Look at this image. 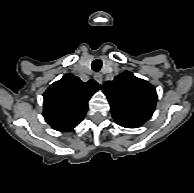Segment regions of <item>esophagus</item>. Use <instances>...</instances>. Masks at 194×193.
<instances>
[{
  "label": "esophagus",
  "instance_id": "obj_1",
  "mask_svg": "<svg viewBox=\"0 0 194 193\" xmlns=\"http://www.w3.org/2000/svg\"><path fill=\"white\" fill-rule=\"evenodd\" d=\"M94 79L96 82H98L99 84H102V81H103V77L100 73H97L94 75Z\"/></svg>",
  "mask_w": 194,
  "mask_h": 193
}]
</instances>
